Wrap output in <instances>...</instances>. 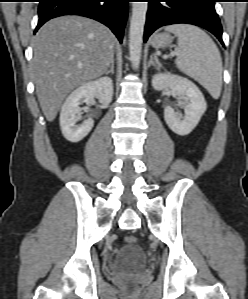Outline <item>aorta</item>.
<instances>
[{
    "label": "aorta",
    "mask_w": 248,
    "mask_h": 299,
    "mask_svg": "<svg viewBox=\"0 0 248 299\" xmlns=\"http://www.w3.org/2000/svg\"><path fill=\"white\" fill-rule=\"evenodd\" d=\"M148 9L147 2H133L129 29V54L133 67H139L143 33Z\"/></svg>",
    "instance_id": "obj_1"
}]
</instances>
